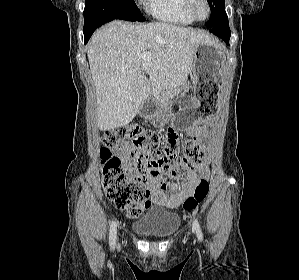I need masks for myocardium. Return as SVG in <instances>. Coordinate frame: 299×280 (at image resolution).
<instances>
[{
    "label": "myocardium",
    "instance_id": "1",
    "mask_svg": "<svg viewBox=\"0 0 299 280\" xmlns=\"http://www.w3.org/2000/svg\"><path fill=\"white\" fill-rule=\"evenodd\" d=\"M197 0H185V9L187 11V13L192 17V19L194 21H205L206 19L209 18L210 14H211V7H210V3L208 0H201L205 7H206V15L203 18H200L196 15L195 13V2Z\"/></svg>",
    "mask_w": 299,
    "mask_h": 280
}]
</instances>
